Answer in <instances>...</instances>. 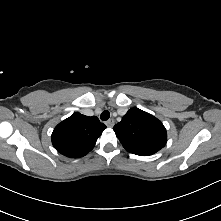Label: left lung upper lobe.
I'll return each mask as SVG.
<instances>
[{"mask_svg":"<svg viewBox=\"0 0 221 221\" xmlns=\"http://www.w3.org/2000/svg\"><path fill=\"white\" fill-rule=\"evenodd\" d=\"M113 130L123 147L136 155H152L167 142V133L162 122L138 108H131Z\"/></svg>","mask_w":221,"mask_h":221,"instance_id":"5c2ea615","label":"left lung upper lobe"}]
</instances>
